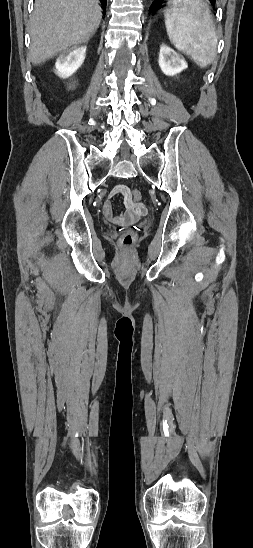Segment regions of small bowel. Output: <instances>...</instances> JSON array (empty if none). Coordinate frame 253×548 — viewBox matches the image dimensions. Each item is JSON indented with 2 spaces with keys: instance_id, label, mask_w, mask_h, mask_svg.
Here are the masks:
<instances>
[{
  "instance_id": "c3829d8e",
  "label": "small bowel",
  "mask_w": 253,
  "mask_h": 548,
  "mask_svg": "<svg viewBox=\"0 0 253 548\" xmlns=\"http://www.w3.org/2000/svg\"><path fill=\"white\" fill-rule=\"evenodd\" d=\"M130 190L125 185H117L109 192V199L115 196L124 198L125 210L120 214H114L112 204L109 200L103 205V214L107 220L117 225H128L137 221L146 213V207L142 203L134 202L131 198Z\"/></svg>"
}]
</instances>
